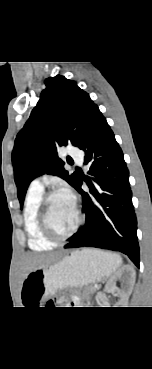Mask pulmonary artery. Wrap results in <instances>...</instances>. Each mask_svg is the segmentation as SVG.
I'll return each instance as SVG.
<instances>
[{
    "label": "pulmonary artery",
    "mask_w": 152,
    "mask_h": 369,
    "mask_svg": "<svg viewBox=\"0 0 152 369\" xmlns=\"http://www.w3.org/2000/svg\"><path fill=\"white\" fill-rule=\"evenodd\" d=\"M66 153L69 156H71L72 158H74L76 160V162H78L80 164L82 163L83 155H82L81 151L78 150L77 148L67 147L66 148ZM29 188L35 189V190H43V183H42L41 177L34 178L31 181Z\"/></svg>",
    "instance_id": "obj_1"
}]
</instances>
